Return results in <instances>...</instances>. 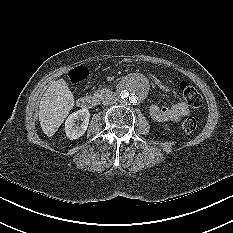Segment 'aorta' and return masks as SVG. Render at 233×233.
I'll list each match as a JSON object with an SVG mask.
<instances>
[{
  "mask_svg": "<svg viewBox=\"0 0 233 233\" xmlns=\"http://www.w3.org/2000/svg\"><path fill=\"white\" fill-rule=\"evenodd\" d=\"M147 94V85L140 76L126 78L119 87L120 100L124 104L141 102Z\"/></svg>",
  "mask_w": 233,
  "mask_h": 233,
  "instance_id": "762f6f07",
  "label": "aorta"
}]
</instances>
